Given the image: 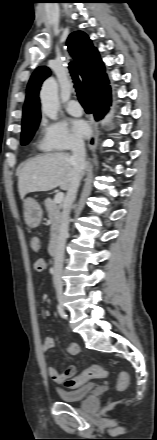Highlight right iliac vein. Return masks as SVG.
I'll return each instance as SVG.
<instances>
[{
	"mask_svg": "<svg viewBox=\"0 0 157 440\" xmlns=\"http://www.w3.org/2000/svg\"><path fill=\"white\" fill-rule=\"evenodd\" d=\"M56 295H57L58 302L60 303V305L62 307H64L65 299H64V295L62 293V289L61 288H57L56 289Z\"/></svg>",
	"mask_w": 157,
	"mask_h": 440,
	"instance_id": "1",
	"label": "right iliac vein"
}]
</instances>
